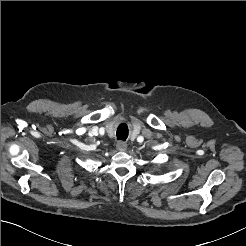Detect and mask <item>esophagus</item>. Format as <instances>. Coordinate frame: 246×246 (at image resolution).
I'll use <instances>...</instances> for the list:
<instances>
[{
  "label": "esophagus",
  "instance_id": "34e87169",
  "mask_svg": "<svg viewBox=\"0 0 246 246\" xmlns=\"http://www.w3.org/2000/svg\"><path fill=\"white\" fill-rule=\"evenodd\" d=\"M116 147L119 151H126L127 150V144L123 141H119L117 143Z\"/></svg>",
  "mask_w": 246,
  "mask_h": 246
}]
</instances>
